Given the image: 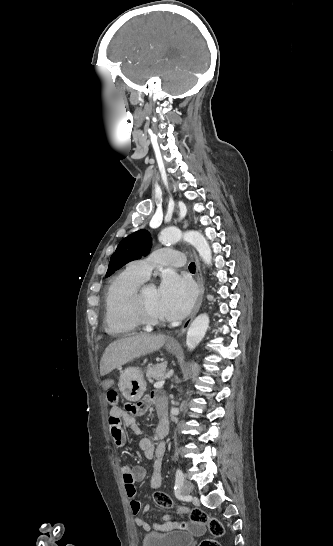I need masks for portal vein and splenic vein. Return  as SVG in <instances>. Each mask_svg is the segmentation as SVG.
I'll list each match as a JSON object with an SVG mask.
<instances>
[{
  "mask_svg": "<svg viewBox=\"0 0 333 546\" xmlns=\"http://www.w3.org/2000/svg\"><path fill=\"white\" fill-rule=\"evenodd\" d=\"M165 383V378H162L160 380H158L155 384H154V387L155 388H161Z\"/></svg>",
  "mask_w": 333,
  "mask_h": 546,
  "instance_id": "obj_1",
  "label": "portal vein and splenic vein"
}]
</instances>
